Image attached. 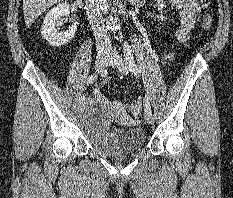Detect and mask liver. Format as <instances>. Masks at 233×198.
I'll return each mask as SVG.
<instances>
[{"label":"liver","mask_w":233,"mask_h":198,"mask_svg":"<svg viewBox=\"0 0 233 198\" xmlns=\"http://www.w3.org/2000/svg\"><path fill=\"white\" fill-rule=\"evenodd\" d=\"M61 1L62 0H23V13L26 27L29 28L44 11Z\"/></svg>","instance_id":"liver-1"}]
</instances>
